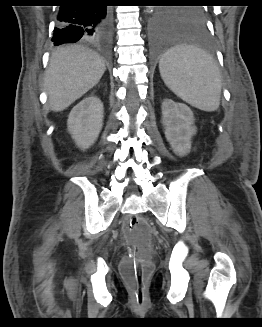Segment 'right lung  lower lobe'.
<instances>
[{
	"label": "right lung lower lobe",
	"mask_w": 262,
	"mask_h": 327,
	"mask_svg": "<svg viewBox=\"0 0 262 327\" xmlns=\"http://www.w3.org/2000/svg\"><path fill=\"white\" fill-rule=\"evenodd\" d=\"M59 7L54 45L87 42L108 49L111 38V13L100 0H63ZM76 3V4H73Z\"/></svg>",
	"instance_id": "98d812e1"
}]
</instances>
